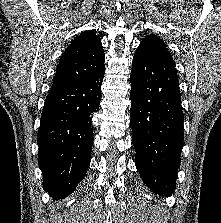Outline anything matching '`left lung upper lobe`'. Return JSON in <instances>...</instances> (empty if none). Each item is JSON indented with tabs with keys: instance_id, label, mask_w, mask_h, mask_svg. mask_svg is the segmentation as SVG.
Listing matches in <instances>:
<instances>
[{
	"instance_id": "5c2ea615",
	"label": "left lung upper lobe",
	"mask_w": 221,
	"mask_h": 223,
	"mask_svg": "<svg viewBox=\"0 0 221 223\" xmlns=\"http://www.w3.org/2000/svg\"><path fill=\"white\" fill-rule=\"evenodd\" d=\"M139 47L144 49H149L150 51L157 52L160 54H165L171 57L164 42L154 34L145 37V39L140 43Z\"/></svg>"
}]
</instances>
